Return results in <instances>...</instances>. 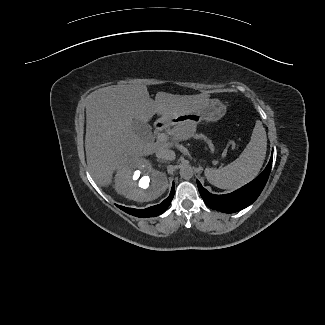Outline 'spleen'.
I'll return each mask as SVG.
<instances>
[{
	"label": "spleen",
	"mask_w": 325,
	"mask_h": 325,
	"mask_svg": "<svg viewBox=\"0 0 325 325\" xmlns=\"http://www.w3.org/2000/svg\"><path fill=\"white\" fill-rule=\"evenodd\" d=\"M266 148V131L261 121L257 120L251 140L239 158L221 169L206 168L205 176L218 188H239L258 175L266 156Z\"/></svg>",
	"instance_id": "1"
}]
</instances>
